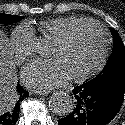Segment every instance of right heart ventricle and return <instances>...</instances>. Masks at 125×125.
Masks as SVG:
<instances>
[{"label": "right heart ventricle", "instance_id": "right-heart-ventricle-1", "mask_svg": "<svg viewBox=\"0 0 125 125\" xmlns=\"http://www.w3.org/2000/svg\"><path fill=\"white\" fill-rule=\"evenodd\" d=\"M87 18L77 16L58 17L42 21L40 23V30L43 37L55 40L70 26L77 24Z\"/></svg>", "mask_w": 125, "mask_h": 125}]
</instances>
